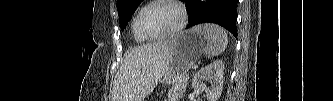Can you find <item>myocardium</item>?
<instances>
[{
	"mask_svg": "<svg viewBox=\"0 0 333 101\" xmlns=\"http://www.w3.org/2000/svg\"><path fill=\"white\" fill-rule=\"evenodd\" d=\"M161 3H165V4H170L174 7L177 8L179 14H180V21L179 24L177 25L176 28H174L172 31L165 33V34H161V35H150L148 34L145 29L142 26V17L143 14L146 12V10H148L150 7L156 5V4H161ZM186 21H187V12L185 7L182 5L181 2L176 1V0H155V1H151L149 2L145 7H143L136 18V27L138 32L140 33V35H142L144 38H146L147 40H159V39H164V38H168V37H172L176 34H178L186 25Z\"/></svg>",
	"mask_w": 333,
	"mask_h": 101,
	"instance_id": "myocardium-1",
	"label": "myocardium"
}]
</instances>
